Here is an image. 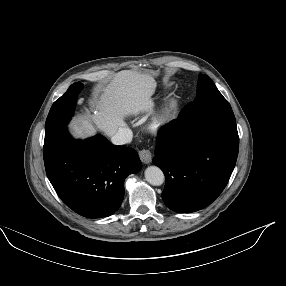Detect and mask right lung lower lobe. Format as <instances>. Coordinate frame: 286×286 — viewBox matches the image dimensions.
<instances>
[{"label":"right lung lower lobe","mask_w":286,"mask_h":286,"mask_svg":"<svg viewBox=\"0 0 286 286\" xmlns=\"http://www.w3.org/2000/svg\"><path fill=\"white\" fill-rule=\"evenodd\" d=\"M47 176L61 200L87 218L110 216L124 197V179L140 171L137 152L101 135L75 140L62 128L45 136Z\"/></svg>","instance_id":"obj_1"}]
</instances>
